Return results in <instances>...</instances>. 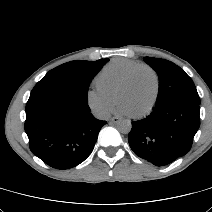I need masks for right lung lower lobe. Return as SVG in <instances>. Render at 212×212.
Here are the masks:
<instances>
[{"label": "right lung lower lobe", "mask_w": 212, "mask_h": 212, "mask_svg": "<svg viewBox=\"0 0 212 212\" xmlns=\"http://www.w3.org/2000/svg\"><path fill=\"white\" fill-rule=\"evenodd\" d=\"M25 111L30 150L61 170L79 165L90 155L106 124L90 113L86 99L67 92H33Z\"/></svg>", "instance_id": "98d812e1"}]
</instances>
